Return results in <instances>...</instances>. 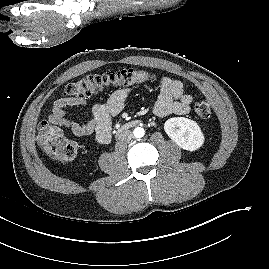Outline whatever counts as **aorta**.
Listing matches in <instances>:
<instances>
[{
    "instance_id": "1",
    "label": "aorta",
    "mask_w": 269,
    "mask_h": 269,
    "mask_svg": "<svg viewBox=\"0 0 269 269\" xmlns=\"http://www.w3.org/2000/svg\"><path fill=\"white\" fill-rule=\"evenodd\" d=\"M133 134L136 138H141L145 135V130L142 127H136Z\"/></svg>"
}]
</instances>
